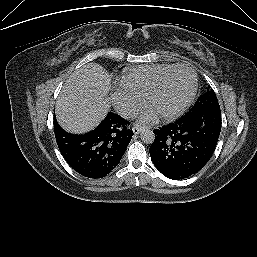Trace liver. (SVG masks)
Masks as SVG:
<instances>
[{
	"mask_svg": "<svg viewBox=\"0 0 257 257\" xmlns=\"http://www.w3.org/2000/svg\"><path fill=\"white\" fill-rule=\"evenodd\" d=\"M111 78L97 63H87L66 80L56 101V117L66 131L81 134L94 129L110 109Z\"/></svg>",
	"mask_w": 257,
	"mask_h": 257,
	"instance_id": "6515ba94",
	"label": "liver"
}]
</instances>
